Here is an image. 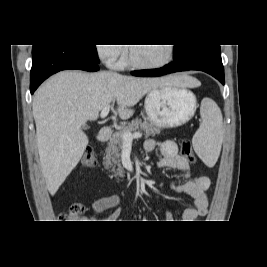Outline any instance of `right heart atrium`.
Returning a JSON list of instances; mask_svg holds the SVG:
<instances>
[{"mask_svg":"<svg viewBox=\"0 0 267 267\" xmlns=\"http://www.w3.org/2000/svg\"><path fill=\"white\" fill-rule=\"evenodd\" d=\"M97 54L99 58L110 68L121 66L124 48L120 45H98Z\"/></svg>","mask_w":267,"mask_h":267,"instance_id":"1","label":"right heart atrium"}]
</instances>
